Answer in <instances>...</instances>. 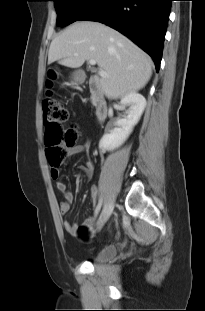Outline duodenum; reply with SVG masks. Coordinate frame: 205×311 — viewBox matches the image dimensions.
Segmentation results:
<instances>
[{"instance_id":"410a0bca","label":"duodenum","mask_w":205,"mask_h":311,"mask_svg":"<svg viewBox=\"0 0 205 311\" xmlns=\"http://www.w3.org/2000/svg\"><path fill=\"white\" fill-rule=\"evenodd\" d=\"M81 77L82 75L80 73L76 75V78ZM89 84H90V94L95 106V118L97 121H102L108 115L109 111L108 101L102 95L100 86L95 81V79H90Z\"/></svg>"}]
</instances>
